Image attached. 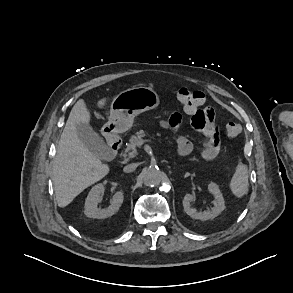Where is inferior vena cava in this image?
<instances>
[{"instance_id":"obj_1","label":"inferior vena cava","mask_w":293,"mask_h":293,"mask_svg":"<svg viewBox=\"0 0 293 293\" xmlns=\"http://www.w3.org/2000/svg\"><path fill=\"white\" fill-rule=\"evenodd\" d=\"M138 165L136 163L128 164L123 168L125 173L133 172Z\"/></svg>"}]
</instances>
